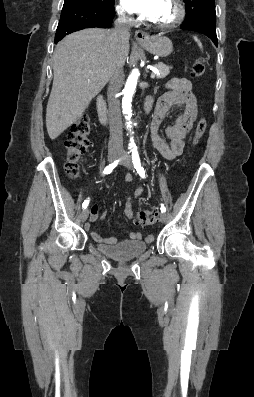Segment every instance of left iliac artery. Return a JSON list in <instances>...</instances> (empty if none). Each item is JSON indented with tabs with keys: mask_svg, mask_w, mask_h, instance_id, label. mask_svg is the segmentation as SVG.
Wrapping results in <instances>:
<instances>
[{
	"mask_svg": "<svg viewBox=\"0 0 254 397\" xmlns=\"http://www.w3.org/2000/svg\"><path fill=\"white\" fill-rule=\"evenodd\" d=\"M132 160H133V164L135 169L137 170V173L142 177L145 178V170L144 168L141 166V161H140V157L137 151V148H134L132 150ZM166 208L163 204H161V212L165 213Z\"/></svg>",
	"mask_w": 254,
	"mask_h": 397,
	"instance_id": "left-iliac-artery-1",
	"label": "left iliac artery"
}]
</instances>
